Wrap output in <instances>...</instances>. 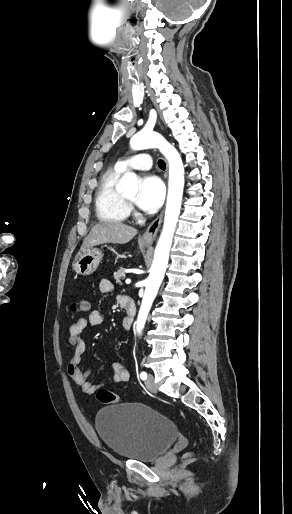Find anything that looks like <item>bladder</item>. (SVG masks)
Instances as JSON below:
<instances>
[{
    "label": "bladder",
    "instance_id": "obj_1",
    "mask_svg": "<svg viewBox=\"0 0 292 514\" xmlns=\"http://www.w3.org/2000/svg\"><path fill=\"white\" fill-rule=\"evenodd\" d=\"M98 436L118 457L153 461L176 440L178 429L165 415L140 403L106 406L95 416Z\"/></svg>",
    "mask_w": 292,
    "mask_h": 514
}]
</instances>
